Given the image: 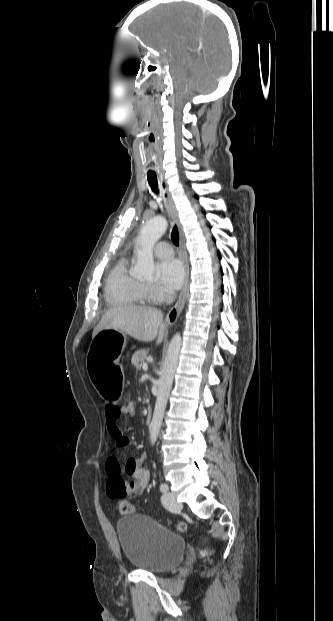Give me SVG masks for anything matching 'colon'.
<instances>
[{
  "label": "colon",
  "mask_w": 333,
  "mask_h": 621,
  "mask_svg": "<svg viewBox=\"0 0 333 621\" xmlns=\"http://www.w3.org/2000/svg\"><path fill=\"white\" fill-rule=\"evenodd\" d=\"M120 407L122 408L123 415L127 417H134L137 413V403L131 396L121 399ZM118 510L121 514H131L134 511L133 505L127 500H121L118 503ZM177 530L185 531L186 525L183 522H178L176 525ZM203 555H207V551H202Z\"/></svg>",
  "instance_id": "1"
}]
</instances>
